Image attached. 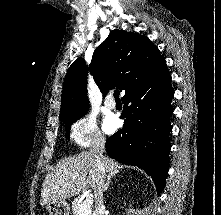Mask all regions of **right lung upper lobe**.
<instances>
[{
	"label": "right lung upper lobe",
	"instance_id": "cb5924a9",
	"mask_svg": "<svg viewBox=\"0 0 221 215\" xmlns=\"http://www.w3.org/2000/svg\"><path fill=\"white\" fill-rule=\"evenodd\" d=\"M165 69V59L146 36L117 29L94 51L90 64L91 74L104 94L114 87L127 94ZM86 91L87 67L85 60L78 58L64 79L61 120L89 108Z\"/></svg>",
	"mask_w": 221,
	"mask_h": 215
}]
</instances>
